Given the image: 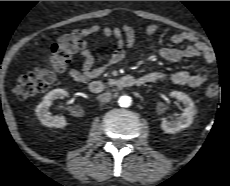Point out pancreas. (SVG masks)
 <instances>
[{"instance_id": "pancreas-1", "label": "pancreas", "mask_w": 230, "mask_h": 186, "mask_svg": "<svg viewBox=\"0 0 230 186\" xmlns=\"http://www.w3.org/2000/svg\"><path fill=\"white\" fill-rule=\"evenodd\" d=\"M115 83H116V80H114V79H109L108 80V84H110V85H113Z\"/></svg>"}]
</instances>
